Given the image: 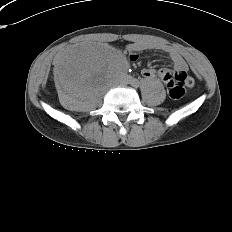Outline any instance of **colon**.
<instances>
[{
    "label": "colon",
    "mask_w": 232,
    "mask_h": 232,
    "mask_svg": "<svg viewBox=\"0 0 232 232\" xmlns=\"http://www.w3.org/2000/svg\"><path fill=\"white\" fill-rule=\"evenodd\" d=\"M191 78L183 74L174 75L171 79L166 81L169 96L173 99H179L184 95L185 85H192Z\"/></svg>",
    "instance_id": "5ec220e1"
}]
</instances>
